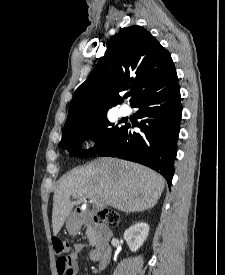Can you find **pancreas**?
Listing matches in <instances>:
<instances>
[{
	"instance_id": "pancreas-1",
	"label": "pancreas",
	"mask_w": 225,
	"mask_h": 275,
	"mask_svg": "<svg viewBox=\"0 0 225 275\" xmlns=\"http://www.w3.org/2000/svg\"><path fill=\"white\" fill-rule=\"evenodd\" d=\"M91 244H94L95 242V235H94V230L91 226H88L87 232H86Z\"/></svg>"
}]
</instances>
